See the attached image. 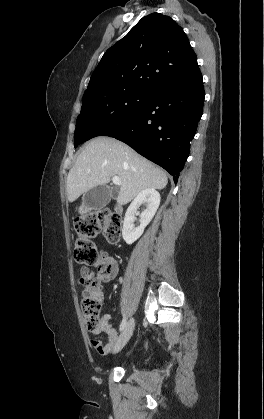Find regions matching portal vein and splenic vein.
Wrapping results in <instances>:
<instances>
[{"label":"portal vein and splenic vein","mask_w":264,"mask_h":419,"mask_svg":"<svg viewBox=\"0 0 264 419\" xmlns=\"http://www.w3.org/2000/svg\"><path fill=\"white\" fill-rule=\"evenodd\" d=\"M112 182L115 184V185H122V183H121V181H120V178L118 177V176H114V177H112Z\"/></svg>","instance_id":"portal-vein-and-splenic-vein-1"}]
</instances>
